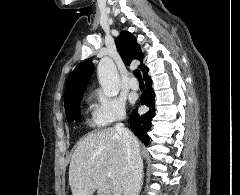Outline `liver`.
Returning <instances> with one entry per match:
<instances>
[{
    "label": "liver",
    "mask_w": 240,
    "mask_h": 195,
    "mask_svg": "<svg viewBox=\"0 0 240 195\" xmlns=\"http://www.w3.org/2000/svg\"><path fill=\"white\" fill-rule=\"evenodd\" d=\"M128 175V151L115 127L91 131L83 137L69 165L73 195H93L96 189L100 195L124 193Z\"/></svg>",
    "instance_id": "6515ba94"
}]
</instances>
